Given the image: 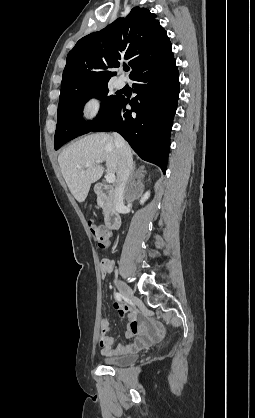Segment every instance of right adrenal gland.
<instances>
[{"instance_id": "2a0ac1e0", "label": "right adrenal gland", "mask_w": 255, "mask_h": 418, "mask_svg": "<svg viewBox=\"0 0 255 418\" xmlns=\"http://www.w3.org/2000/svg\"><path fill=\"white\" fill-rule=\"evenodd\" d=\"M145 172H146V171L144 170V167H143V166L139 167V168L136 170V166L134 165V166H133V169H132L131 176H130V178H129V180H128V183L132 182L135 178H138V180H140L141 178H143V177H144V173H145Z\"/></svg>"}]
</instances>
